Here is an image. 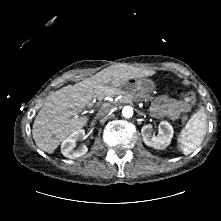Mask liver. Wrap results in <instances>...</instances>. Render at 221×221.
I'll return each mask as SVG.
<instances>
[{
    "label": "liver",
    "instance_id": "liver-1",
    "mask_svg": "<svg viewBox=\"0 0 221 221\" xmlns=\"http://www.w3.org/2000/svg\"><path fill=\"white\" fill-rule=\"evenodd\" d=\"M135 70L111 66L75 85H67L46 97L32 129L37 147L53 153L69 134L87 124V116H78L94 97L113 95L121 84L135 76Z\"/></svg>",
    "mask_w": 221,
    "mask_h": 221
}]
</instances>
